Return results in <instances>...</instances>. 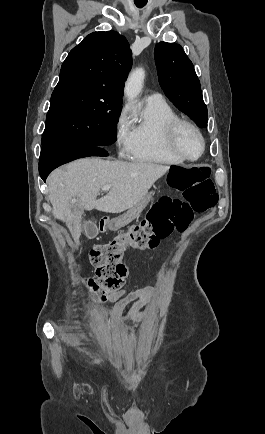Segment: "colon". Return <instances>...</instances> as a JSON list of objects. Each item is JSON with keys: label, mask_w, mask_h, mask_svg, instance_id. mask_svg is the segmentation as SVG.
Here are the masks:
<instances>
[{"label": "colon", "mask_w": 265, "mask_h": 434, "mask_svg": "<svg viewBox=\"0 0 265 434\" xmlns=\"http://www.w3.org/2000/svg\"><path fill=\"white\" fill-rule=\"evenodd\" d=\"M211 170L208 164H173L168 168L170 189L183 193V200L161 197L127 231L91 248L89 261L97 274L84 281L90 299L103 301L123 285L127 267L122 259L129 249L154 247L175 232L185 231L196 214L216 207L219 197Z\"/></svg>", "instance_id": "colon-1"}]
</instances>
